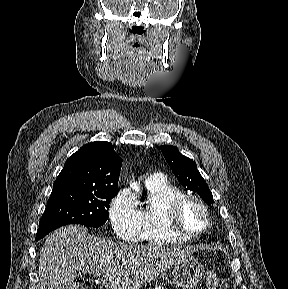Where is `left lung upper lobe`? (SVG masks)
Returning <instances> with one entry per match:
<instances>
[{"label":"left lung upper lobe","mask_w":288,"mask_h":289,"mask_svg":"<svg viewBox=\"0 0 288 289\" xmlns=\"http://www.w3.org/2000/svg\"><path fill=\"white\" fill-rule=\"evenodd\" d=\"M160 148L164 158L180 183L185 188L197 192L208 205L214 203L212 193L197 170L196 163L192 159L182 155L174 146L163 145Z\"/></svg>","instance_id":"left-lung-upper-lobe-1"}]
</instances>
